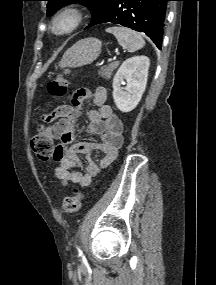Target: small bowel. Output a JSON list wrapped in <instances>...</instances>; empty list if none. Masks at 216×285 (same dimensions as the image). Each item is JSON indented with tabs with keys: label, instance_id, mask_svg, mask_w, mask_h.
<instances>
[{
	"label": "small bowel",
	"instance_id": "c3829d8e",
	"mask_svg": "<svg viewBox=\"0 0 216 285\" xmlns=\"http://www.w3.org/2000/svg\"><path fill=\"white\" fill-rule=\"evenodd\" d=\"M91 100L97 109L88 113L86 132L97 136L98 142H74L78 133L76 123L81 118L80 104ZM107 90L98 87L94 91L85 88L78 89L72 98V106H63L54 114L58 121L48 133L61 143L56 146L53 160L57 162L54 169L56 178L64 186L74 184L79 187L88 186L98 174L100 168H105L116 158L123 143L121 120L113 113L107 104ZM51 117H48L49 119ZM45 133V128H40ZM100 151L103 156L97 164L92 157L93 151ZM79 155L86 156L84 165Z\"/></svg>",
	"mask_w": 216,
	"mask_h": 285
}]
</instances>
